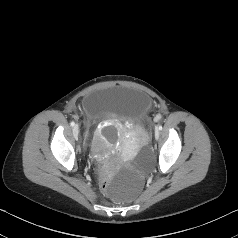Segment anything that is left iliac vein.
<instances>
[{
	"label": "left iliac vein",
	"mask_w": 238,
	"mask_h": 238,
	"mask_svg": "<svg viewBox=\"0 0 238 238\" xmlns=\"http://www.w3.org/2000/svg\"><path fill=\"white\" fill-rule=\"evenodd\" d=\"M159 136H160L159 129H156V130H155V138L158 139Z\"/></svg>",
	"instance_id": "obj_1"
}]
</instances>
